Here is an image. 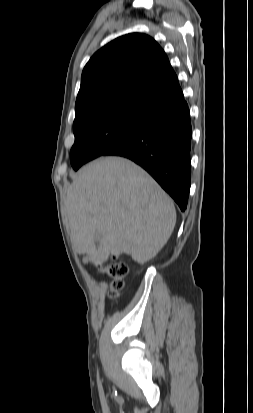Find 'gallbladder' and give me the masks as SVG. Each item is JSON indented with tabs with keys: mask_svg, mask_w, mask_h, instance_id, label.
Masks as SVG:
<instances>
[{
	"mask_svg": "<svg viewBox=\"0 0 253 413\" xmlns=\"http://www.w3.org/2000/svg\"><path fill=\"white\" fill-rule=\"evenodd\" d=\"M102 238V233H97L96 242H99Z\"/></svg>",
	"mask_w": 253,
	"mask_h": 413,
	"instance_id": "gallbladder-1",
	"label": "gallbladder"
}]
</instances>
